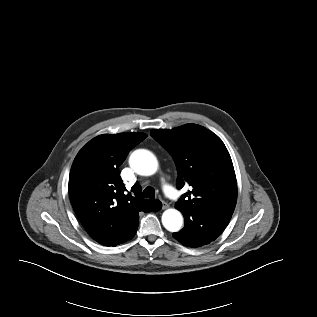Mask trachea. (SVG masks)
<instances>
[{"label":"trachea","instance_id":"obj_1","mask_svg":"<svg viewBox=\"0 0 317 317\" xmlns=\"http://www.w3.org/2000/svg\"><path fill=\"white\" fill-rule=\"evenodd\" d=\"M143 198L154 199L155 198V190L152 187H146L142 193Z\"/></svg>","mask_w":317,"mask_h":317}]
</instances>
